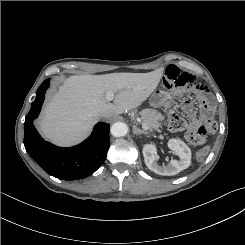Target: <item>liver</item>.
<instances>
[{"label":"liver","mask_w":245,"mask_h":245,"mask_svg":"<svg viewBox=\"0 0 245 245\" xmlns=\"http://www.w3.org/2000/svg\"><path fill=\"white\" fill-rule=\"evenodd\" d=\"M163 71L71 76L46 104L40 131L57 145L76 144L87 137L102 114L109 119L140 106L157 88ZM110 91L116 92L113 103L106 99Z\"/></svg>","instance_id":"1"}]
</instances>
